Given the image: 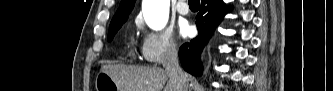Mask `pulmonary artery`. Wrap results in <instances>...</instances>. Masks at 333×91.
I'll use <instances>...</instances> for the list:
<instances>
[{
	"label": "pulmonary artery",
	"mask_w": 333,
	"mask_h": 91,
	"mask_svg": "<svg viewBox=\"0 0 333 91\" xmlns=\"http://www.w3.org/2000/svg\"><path fill=\"white\" fill-rule=\"evenodd\" d=\"M176 10L181 15H187L189 13V7L186 1L184 0L178 1L176 5Z\"/></svg>",
	"instance_id": "1"
}]
</instances>
